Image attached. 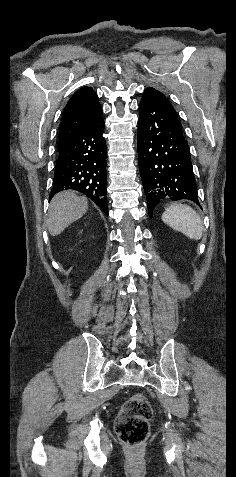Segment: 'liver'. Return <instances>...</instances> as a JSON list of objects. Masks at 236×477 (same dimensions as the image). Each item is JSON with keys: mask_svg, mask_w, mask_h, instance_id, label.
Wrapping results in <instances>:
<instances>
[{"mask_svg": "<svg viewBox=\"0 0 236 477\" xmlns=\"http://www.w3.org/2000/svg\"><path fill=\"white\" fill-rule=\"evenodd\" d=\"M88 209L85 197H79L72 191L56 194L50 202L47 227L52 236H57L65 228L80 219Z\"/></svg>", "mask_w": 236, "mask_h": 477, "instance_id": "1", "label": "liver"}]
</instances>
